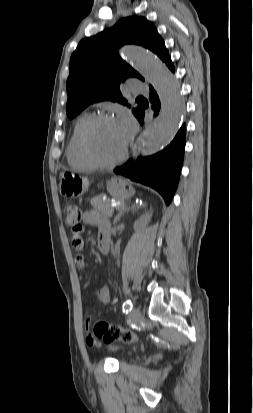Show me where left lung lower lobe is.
<instances>
[{
	"label": "left lung lower lobe",
	"instance_id": "1",
	"mask_svg": "<svg viewBox=\"0 0 253 413\" xmlns=\"http://www.w3.org/2000/svg\"><path fill=\"white\" fill-rule=\"evenodd\" d=\"M167 67L174 72V64L168 57L165 61ZM150 102L155 115L160 110V101L157 93L150 86ZM143 109L136 116L142 124L144 120ZM185 125L178 131L173 141L162 151L149 157H139L136 161L129 160L126 164L114 169L116 174L123 175L133 181L151 186L170 204L177 187L182 168L185 149Z\"/></svg>",
	"mask_w": 253,
	"mask_h": 413
}]
</instances>
